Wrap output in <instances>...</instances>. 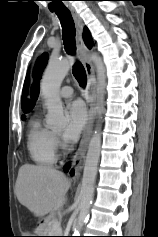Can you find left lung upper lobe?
Instances as JSON below:
<instances>
[{"instance_id": "left-lung-upper-lobe-1", "label": "left lung upper lobe", "mask_w": 158, "mask_h": 237, "mask_svg": "<svg viewBox=\"0 0 158 237\" xmlns=\"http://www.w3.org/2000/svg\"><path fill=\"white\" fill-rule=\"evenodd\" d=\"M27 87H28V83H27V79H26V81H25V83H24V87H23L22 101H23L24 97H25L26 94H27Z\"/></svg>"}]
</instances>
